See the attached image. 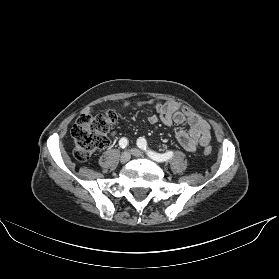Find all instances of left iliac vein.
Here are the masks:
<instances>
[{"label":"left iliac vein","mask_w":279,"mask_h":279,"mask_svg":"<svg viewBox=\"0 0 279 279\" xmlns=\"http://www.w3.org/2000/svg\"><path fill=\"white\" fill-rule=\"evenodd\" d=\"M131 154L135 157L143 156V153L139 149H136V148L131 149Z\"/></svg>","instance_id":"left-iliac-vein-1"}]
</instances>
